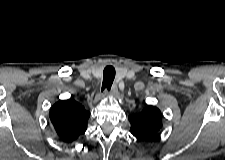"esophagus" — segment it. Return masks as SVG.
Returning a JSON list of instances; mask_svg holds the SVG:
<instances>
[{"label": "esophagus", "mask_w": 225, "mask_h": 160, "mask_svg": "<svg viewBox=\"0 0 225 160\" xmlns=\"http://www.w3.org/2000/svg\"><path fill=\"white\" fill-rule=\"evenodd\" d=\"M117 93H118V87H117L116 84H114L111 87L109 94L112 95V96H115ZM107 94H108V90H106L103 95H107Z\"/></svg>", "instance_id": "1"}]
</instances>
